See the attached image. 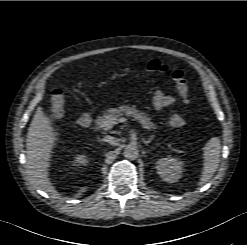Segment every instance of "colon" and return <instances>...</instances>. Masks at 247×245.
Listing matches in <instances>:
<instances>
[{"label": "colon", "instance_id": "obj_1", "mask_svg": "<svg viewBox=\"0 0 247 245\" xmlns=\"http://www.w3.org/2000/svg\"><path fill=\"white\" fill-rule=\"evenodd\" d=\"M145 68L150 72H170L175 82L177 91L185 104H189V82L186 74L181 69H170V67L159 60L153 59L146 63ZM65 106L63 91L59 88L53 90L51 95V114L55 118L62 116ZM168 125L172 129L184 127L185 120L181 115L174 114L169 118Z\"/></svg>", "mask_w": 247, "mask_h": 245}]
</instances>
